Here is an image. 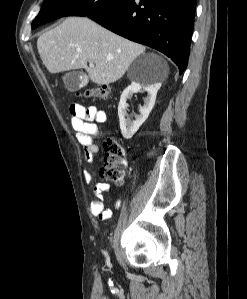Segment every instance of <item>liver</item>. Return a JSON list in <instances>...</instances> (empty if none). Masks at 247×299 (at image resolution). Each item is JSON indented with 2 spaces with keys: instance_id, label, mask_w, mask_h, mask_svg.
<instances>
[{
  "instance_id": "6515ba94",
  "label": "liver",
  "mask_w": 247,
  "mask_h": 299,
  "mask_svg": "<svg viewBox=\"0 0 247 299\" xmlns=\"http://www.w3.org/2000/svg\"><path fill=\"white\" fill-rule=\"evenodd\" d=\"M41 60L50 73L85 69L93 83L119 80L145 47L125 39L87 17H70L37 40ZM92 61L95 67H88ZM167 77V63L159 58Z\"/></svg>"
}]
</instances>
